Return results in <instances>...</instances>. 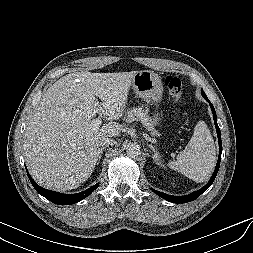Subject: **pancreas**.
Returning a JSON list of instances; mask_svg holds the SVG:
<instances>
[{"label":"pancreas","instance_id":"pancreas-1","mask_svg":"<svg viewBox=\"0 0 253 253\" xmlns=\"http://www.w3.org/2000/svg\"><path fill=\"white\" fill-rule=\"evenodd\" d=\"M125 120L129 123L133 121H141L146 130L151 132V135H158V132L154 129V125L148 113L141 107L133 108L127 111Z\"/></svg>","mask_w":253,"mask_h":253}]
</instances>
